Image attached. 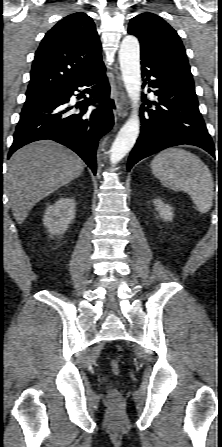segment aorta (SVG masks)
Wrapping results in <instances>:
<instances>
[{"label": "aorta", "mask_w": 222, "mask_h": 447, "mask_svg": "<svg viewBox=\"0 0 222 447\" xmlns=\"http://www.w3.org/2000/svg\"><path fill=\"white\" fill-rule=\"evenodd\" d=\"M120 69L124 86L132 101V112L120 129L110 150V162L117 164L133 148L139 135V101L141 92L140 46L138 39L127 35L119 50Z\"/></svg>", "instance_id": "aorta-1"}]
</instances>
